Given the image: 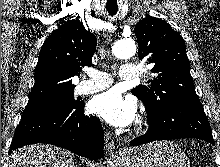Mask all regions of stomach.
Here are the masks:
<instances>
[{
  "label": "stomach",
  "instance_id": "obj_1",
  "mask_svg": "<svg viewBox=\"0 0 220 167\" xmlns=\"http://www.w3.org/2000/svg\"><path fill=\"white\" fill-rule=\"evenodd\" d=\"M123 167H190L185 152L174 142L161 141L128 149L120 158Z\"/></svg>",
  "mask_w": 220,
  "mask_h": 167
}]
</instances>
